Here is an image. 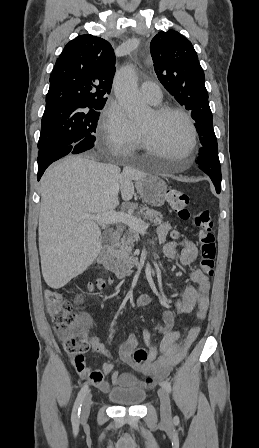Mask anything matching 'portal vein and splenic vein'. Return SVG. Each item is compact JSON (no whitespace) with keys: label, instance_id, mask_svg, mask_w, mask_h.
Segmentation results:
<instances>
[{"label":"portal vein and splenic vein","instance_id":"portal-vein-and-splenic-vein-1","mask_svg":"<svg viewBox=\"0 0 259 448\" xmlns=\"http://www.w3.org/2000/svg\"><path fill=\"white\" fill-rule=\"evenodd\" d=\"M79 218L82 220H93L97 224H126L129 228L137 230V232H146L148 226L143 222V220H138L132 214H124V212H114V210H109L105 214H80Z\"/></svg>","mask_w":259,"mask_h":448}]
</instances>
